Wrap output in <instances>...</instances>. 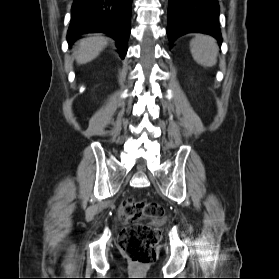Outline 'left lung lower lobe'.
I'll return each mask as SVG.
<instances>
[{"label":"left lung lower lobe","instance_id":"1","mask_svg":"<svg viewBox=\"0 0 279 279\" xmlns=\"http://www.w3.org/2000/svg\"><path fill=\"white\" fill-rule=\"evenodd\" d=\"M189 32L209 34L221 44L218 0H170L167 25L170 45Z\"/></svg>","mask_w":279,"mask_h":279}]
</instances>
